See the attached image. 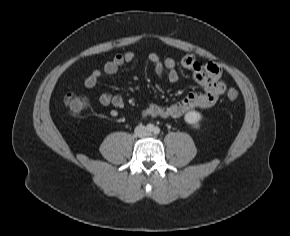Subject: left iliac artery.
Masks as SVG:
<instances>
[{
	"instance_id": "left-iliac-artery-1",
	"label": "left iliac artery",
	"mask_w": 290,
	"mask_h": 236,
	"mask_svg": "<svg viewBox=\"0 0 290 236\" xmlns=\"http://www.w3.org/2000/svg\"><path fill=\"white\" fill-rule=\"evenodd\" d=\"M153 132L155 135H158L160 133V129L158 127H155Z\"/></svg>"
}]
</instances>
